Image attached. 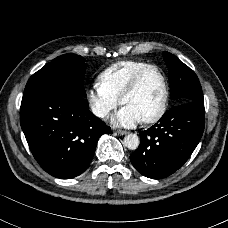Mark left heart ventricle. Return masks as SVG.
Segmentation results:
<instances>
[{
	"label": "left heart ventricle",
	"instance_id": "obj_1",
	"mask_svg": "<svg viewBox=\"0 0 228 228\" xmlns=\"http://www.w3.org/2000/svg\"><path fill=\"white\" fill-rule=\"evenodd\" d=\"M164 96L162 78L152 69L143 76L137 90L126 98L124 106L132 108L141 119H145L159 111Z\"/></svg>",
	"mask_w": 228,
	"mask_h": 228
}]
</instances>
